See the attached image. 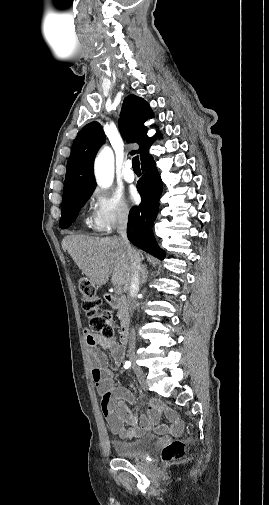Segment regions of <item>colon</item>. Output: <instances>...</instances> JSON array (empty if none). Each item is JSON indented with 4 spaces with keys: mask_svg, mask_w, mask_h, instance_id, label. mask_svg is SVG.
Returning <instances> with one entry per match:
<instances>
[{
    "mask_svg": "<svg viewBox=\"0 0 269 505\" xmlns=\"http://www.w3.org/2000/svg\"><path fill=\"white\" fill-rule=\"evenodd\" d=\"M80 291L83 295V309L88 318V330L92 335L109 337L113 333L112 316L109 311L100 308L101 302L96 294L94 284L87 278L80 280ZM186 454V444L182 440H173L166 444L161 452L165 462L182 459Z\"/></svg>",
    "mask_w": 269,
    "mask_h": 505,
    "instance_id": "1",
    "label": "colon"
}]
</instances>
